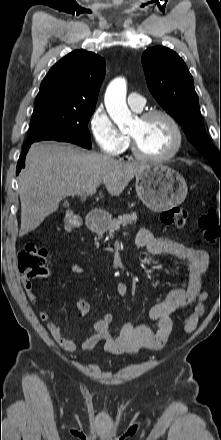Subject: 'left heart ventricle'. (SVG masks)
Instances as JSON below:
<instances>
[{
  "mask_svg": "<svg viewBox=\"0 0 221 440\" xmlns=\"http://www.w3.org/2000/svg\"><path fill=\"white\" fill-rule=\"evenodd\" d=\"M140 150L151 156L167 154L175 143V134L171 124L161 116L141 120L130 131Z\"/></svg>",
  "mask_w": 221,
  "mask_h": 440,
  "instance_id": "obj_1",
  "label": "left heart ventricle"
}]
</instances>
